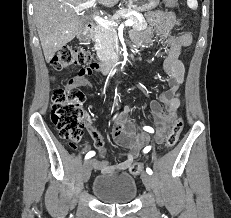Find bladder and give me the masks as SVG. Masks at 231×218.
Listing matches in <instances>:
<instances>
[{
  "label": "bladder",
  "instance_id": "1",
  "mask_svg": "<svg viewBox=\"0 0 231 218\" xmlns=\"http://www.w3.org/2000/svg\"><path fill=\"white\" fill-rule=\"evenodd\" d=\"M94 195L105 203H129L137 192L135 180L129 175H99L92 186Z\"/></svg>",
  "mask_w": 231,
  "mask_h": 218
}]
</instances>
